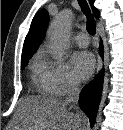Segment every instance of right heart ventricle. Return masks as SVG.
I'll use <instances>...</instances> for the list:
<instances>
[{
	"label": "right heart ventricle",
	"instance_id": "1",
	"mask_svg": "<svg viewBox=\"0 0 123 130\" xmlns=\"http://www.w3.org/2000/svg\"><path fill=\"white\" fill-rule=\"evenodd\" d=\"M45 57L42 53L36 54L32 62L33 79L41 92L52 94L45 74Z\"/></svg>",
	"mask_w": 123,
	"mask_h": 130
}]
</instances>
